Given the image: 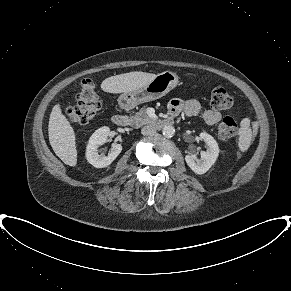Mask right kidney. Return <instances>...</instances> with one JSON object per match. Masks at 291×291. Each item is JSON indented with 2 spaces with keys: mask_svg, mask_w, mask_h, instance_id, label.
Here are the masks:
<instances>
[{
  "mask_svg": "<svg viewBox=\"0 0 291 291\" xmlns=\"http://www.w3.org/2000/svg\"><path fill=\"white\" fill-rule=\"evenodd\" d=\"M109 132V127H102L96 130L89 139L86 149V158L87 161L96 168L107 167L122 151V146L114 143L107 156L99 155L98 148L107 141Z\"/></svg>",
  "mask_w": 291,
  "mask_h": 291,
  "instance_id": "ca27d5eb",
  "label": "right kidney"
}]
</instances>
